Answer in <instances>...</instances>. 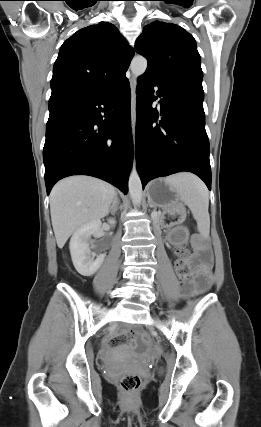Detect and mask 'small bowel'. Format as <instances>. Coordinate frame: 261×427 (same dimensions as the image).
<instances>
[{"mask_svg": "<svg viewBox=\"0 0 261 427\" xmlns=\"http://www.w3.org/2000/svg\"><path fill=\"white\" fill-rule=\"evenodd\" d=\"M200 285H203V282H200ZM194 290H195L194 287H188V288H186V292L187 293H192ZM121 343H122V339L120 337H117V336L111 337L108 340V344L110 346H117V345H119Z\"/></svg>", "mask_w": 261, "mask_h": 427, "instance_id": "1", "label": "small bowel"}]
</instances>
